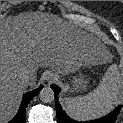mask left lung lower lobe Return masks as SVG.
Segmentation results:
<instances>
[{"mask_svg":"<svg viewBox=\"0 0 123 123\" xmlns=\"http://www.w3.org/2000/svg\"><path fill=\"white\" fill-rule=\"evenodd\" d=\"M51 88L53 89L55 93V106H56V114H57V122L58 123H81L76 122L72 119H70L65 112L62 110L59 102H58V94L60 92V88L56 85H51ZM122 109V105L115 108L113 112H111L109 115L90 122H84V123H114L117 119L118 114L120 113V110Z\"/></svg>","mask_w":123,"mask_h":123,"instance_id":"1","label":"left lung lower lobe"}]
</instances>
